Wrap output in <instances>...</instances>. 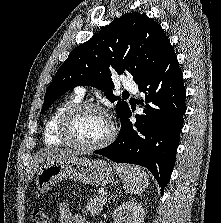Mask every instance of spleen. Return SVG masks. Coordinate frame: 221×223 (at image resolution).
<instances>
[{
  "instance_id": "1",
  "label": "spleen",
  "mask_w": 221,
  "mask_h": 223,
  "mask_svg": "<svg viewBox=\"0 0 221 223\" xmlns=\"http://www.w3.org/2000/svg\"><path fill=\"white\" fill-rule=\"evenodd\" d=\"M114 168L120 176L127 192L140 194L147 188L149 177L140 167L127 164H115Z\"/></svg>"
}]
</instances>
